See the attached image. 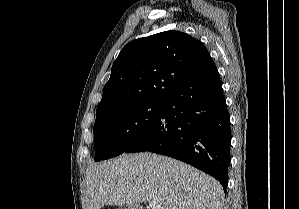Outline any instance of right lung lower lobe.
Wrapping results in <instances>:
<instances>
[{
	"instance_id": "obj_1",
	"label": "right lung lower lobe",
	"mask_w": 299,
	"mask_h": 209,
	"mask_svg": "<svg viewBox=\"0 0 299 209\" xmlns=\"http://www.w3.org/2000/svg\"><path fill=\"white\" fill-rule=\"evenodd\" d=\"M230 143V115L218 71L211 69L178 86L125 153L150 151L184 161L215 177L226 192Z\"/></svg>"
}]
</instances>
